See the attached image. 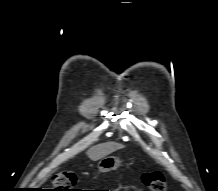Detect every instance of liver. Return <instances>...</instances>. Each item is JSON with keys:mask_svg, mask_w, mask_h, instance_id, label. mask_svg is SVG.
Segmentation results:
<instances>
[{"mask_svg": "<svg viewBox=\"0 0 218 191\" xmlns=\"http://www.w3.org/2000/svg\"><path fill=\"white\" fill-rule=\"evenodd\" d=\"M123 147L124 146L122 144H118L115 142H107V143L98 144V145L91 147L87 151V156L91 160L97 161L99 159L106 157L112 152H115L116 150L122 149Z\"/></svg>", "mask_w": 218, "mask_h": 191, "instance_id": "6515ba94", "label": "liver"}]
</instances>
